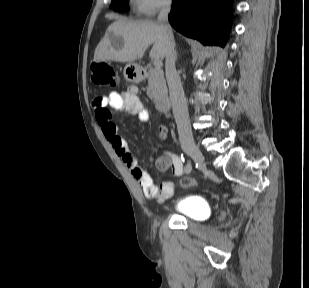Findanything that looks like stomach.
<instances>
[{"mask_svg": "<svg viewBox=\"0 0 309 288\" xmlns=\"http://www.w3.org/2000/svg\"><path fill=\"white\" fill-rule=\"evenodd\" d=\"M123 74L125 79L131 83H139L142 80L140 66L136 63L129 62L126 64Z\"/></svg>", "mask_w": 309, "mask_h": 288, "instance_id": "0dacf381", "label": "stomach"}]
</instances>
